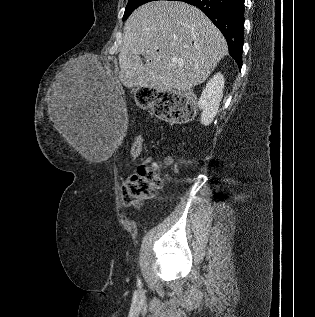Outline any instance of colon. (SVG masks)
Here are the masks:
<instances>
[{
	"mask_svg": "<svg viewBox=\"0 0 315 317\" xmlns=\"http://www.w3.org/2000/svg\"><path fill=\"white\" fill-rule=\"evenodd\" d=\"M153 98L154 112L158 118L169 122L190 120L195 114L193 98L174 90H157ZM142 138L136 137L131 147V155L138 157L141 153ZM168 165L175 166L171 157L166 159ZM163 175L155 163L139 165L125 180L122 190L126 206L137 207L141 201L151 198L162 187Z\"/></svg>",
	"mask_w": 315,
	"mask_h": 317,
	"instance_id": "5ec220e1",
	"label": "colon"
}]
</instances>
